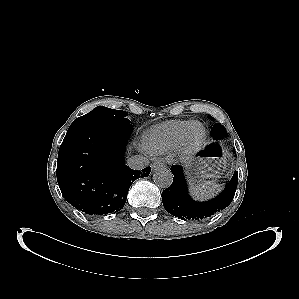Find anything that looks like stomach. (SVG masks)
Instances as JSON below:
<instances>
[{"mask_svg": "<svg viewBox=\"0 0 299 299\" xmlns=\"http://www.w3.org/2000/svg\"><path fill=\"white\" fill-rule=\"evenodd\" d=\"M226 169V155L218 143H212L202 149L190 166L189 178L193 185L203 183L207 179L219 178Z\"/></svg>", "mask_w": 299, "mask_h": 299, "instance_id": "stomach-1", "label": "stomach"}]
</instances>
